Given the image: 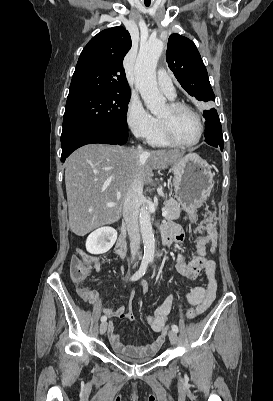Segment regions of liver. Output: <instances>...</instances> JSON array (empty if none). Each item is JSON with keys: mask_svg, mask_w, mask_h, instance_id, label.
<instances>
[{"mask_svg": "<svg viewBox=\"0 0 273 401\" xmlns=\"http://www.w3.org/2000/svg\"><path fill=\"white\" fill-rule=\"evenodd\" d=\"M185 150H148L112 144H85L65 162V184L71 231L84 237L93 229L111 225L121 217L134 176L150 182L152 168H167L182 158ZM196 152H189L193 156ZM138 170V172H136ZM116 203V207H106Z\"/></svg>", "mask_w": 273, "mask_h": 401, "instance_id": "liver-1", "label": "liver"}]
</instances>
